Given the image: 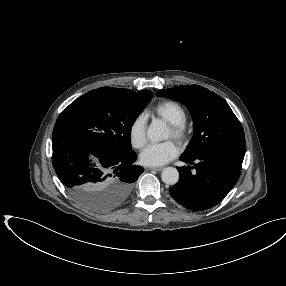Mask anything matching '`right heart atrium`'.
Instances as JSON below:
<instances>
[{
  "instance_id": "1",
  "label": "right heart atrium",
  "mask_w": 286,
  "mask_h": 286,
  "mask_svg": "<svg viewBox=\"0 0 286 286\" xmlns=\"http://www.w3.org/2000/svg\"><path fill=\"white\" fill-rule=\"evenodd\" d=\"M147 119L141 113L137 115L129 126V139L133 147L141 149L147 140Z\"/></svg>"
}]
</instances>
